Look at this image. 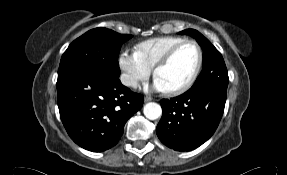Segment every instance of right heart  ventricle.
I'll return each instance as SVG.
<instances>
[{
    "instance_id": "obj_1",
    "label": "right heart ventricle",
    "mask_w": 287,
    "mask_h": 175,
    "mask_svg": "<svg viewBox=\"0 0 287 175\" xmlns=\"http://www.w3.org/2000/svg\"><path fill=\"white\" fill-rule=\"evenodd\" d=\"M184 40L177 36L151 38L138 43L135 46V51L141 60L152 69L168 50Z\"/></svg>"
}]
</instances>
